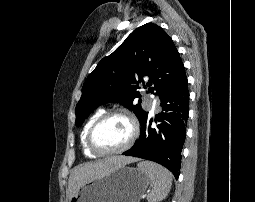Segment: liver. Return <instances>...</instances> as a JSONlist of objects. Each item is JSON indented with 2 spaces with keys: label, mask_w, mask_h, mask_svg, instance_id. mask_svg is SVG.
Wrapping results in <instances>:
<instances>
[{
  "label": "liver",
  "mask_w": 255,
  "mask_h": 202,
  "mask_svg": "<svg viewBox=\"0 0 255 202\" xmlns=\"http://www.w3.org/2000/svg\"><path fill=\"white\" fill-rule=\"evenodd\" d=\"M137 159L125 156H112L105 159L85 163L75 167L69 177L68 181V195L69 199L77 192V190L85 183L103 176L107 172L124 166L129 163L136 162Z\"/></svg>",
  "instance_id": "1"
}]
</instances>
